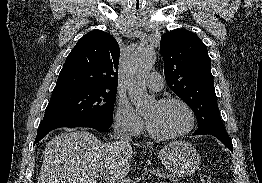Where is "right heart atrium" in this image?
I'll list each match as a JSON object with an SVG mask.
<instances>
[{
  "label": "right heart atrium",
  "mask_w": 262,
  "mask_h": 183,
  "mask_svg": "<svg viewBox=\"0 0 262 183\" xmlns=\"http://www.w3.org/2000/svg\"><path fill=\"white\" fill-rule=\"evenodd\" d=\"M115 128L128 135H138L144 128L143 120L125 100H118L114 113Z\"/></svg>",
  "instance_id": "obj_1"
}]
</instances>
